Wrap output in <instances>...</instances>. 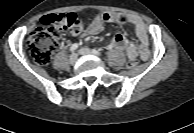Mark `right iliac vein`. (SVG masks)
<instances>
[{
	"label": "right iliac vein",
	"instance_id": "1",
	"mask_svg": "<svg viewBox=\"0 0 194 133\" xmlns=\"http://www.w3.org/2000/svg\"><path fill=\"white\" fill-rule=\"evenodd\" d=\"M78 55L76 53H73L69 58V63L71 65H74L77 62Z\"/></svg>",
	"mask_w": 194,
	"mask_h": 133
}]
</instances>
